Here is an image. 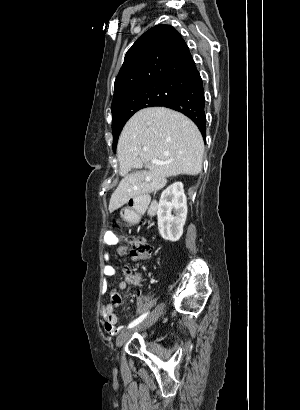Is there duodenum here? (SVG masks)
I'll return each instance as SVG.
<instances>
[{
    "mask_svg": "<svg viewBox=\"0 0 300 410\" xmlns=\"http://www.w3.org/2000/svg\"><path fill=\"white\" fill-rule=\"evenodd\" d=\"M157 210V205L146 198H137L129 208V221L137 223L144 215H153Z\"/></svg>",
    "mask_w": 300,
    "mask_h": 410,
    "instance_id": "obj_1",
    "label": "duodenum"
}]
</instances>
